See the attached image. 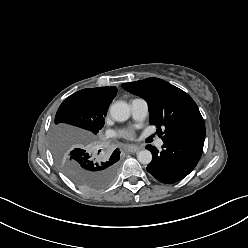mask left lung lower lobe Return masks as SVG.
<instances>
[{
	"label": "left lung lower lobe",
	"mask_w": 248,
	"mask_h": 248,
	"mask_svg": "<svg viewBox=\"0 0 248 248\" xmlns=\"http://www.w3.org/2000/svg\"><path fill=\"white\" fill-rule=\"evenodd\" d=\"M205 128L183 132L165 141L159 151L152 145L146 148L153 159L147 171L158 181L172 184L186 177L197 165L203 151Z\"/></svg>",
	"instance_id": "1"
}]
</instances>
